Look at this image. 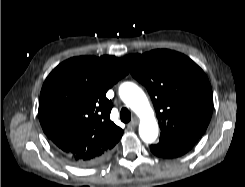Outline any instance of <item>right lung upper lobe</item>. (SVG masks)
I'll use <instances>...</instances> for the list:
<instances>
[{
    "mask_svg": "<svg viewBox=\"0 0 245 187\" xmlns=\"http://www.w3.org/2000/svg\"><path fill=\"white\" fill-rule=\"evenodd\" d=\"M128 74L115 56H81L59 64L46 78L39 99L42 129L71 161L89 162L112 151L123 130L110 120L106 92Z\"/></svg>",
    "mask_w": 245,
    "mask_h": 187,
    "instance_id": "cb5924a9",
    "label": "right lung upper lobe"
}]
</instances>
